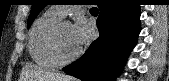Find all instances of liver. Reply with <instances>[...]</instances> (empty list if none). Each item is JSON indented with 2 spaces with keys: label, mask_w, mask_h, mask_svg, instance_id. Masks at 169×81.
I'll return each instance as SVG.
<instances>
[{
  "label": "liver",
  "mask_w": 169,
  "mask_h": 81,
  "mask_svg": "<svg viewBox=\"0 0 169 81\" xmlns=\"http://www.w3.org/2000/svg\"><path fill=\"white\" fill-rule=\"evenodd\" d=\"M25 81H75L73 77L65 74L40 71L34 66L24 67Z\"/></svg>",
  "instance_id": "liver-1"
}]
</instances>
